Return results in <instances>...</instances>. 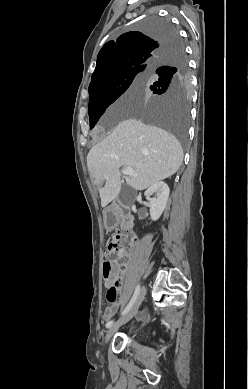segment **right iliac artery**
<instances>
[{"mask_svg":"<svg viewBox=\"0 0 248 389\" xmlns=\"http://www.w3.org/2000/svg\"><path fill=\"white\" fill-rule=\"evenodd\" d=\"M139 291H140V286L137 285L136 289H135V292H134V295L132 296L130 302L128 303V305L126 306V308L123 310L122 312V316H124L130 309L131 307L133 306V304L135 303L136 299H137V296L139 294ZM113 324V321H109L107 324H106V328H110Z\"/></svg>","mask_w":248,"mask_h":389,"instance_id":"right-iliac-artery-1","label":"right iliac artery"}]
</instances>
